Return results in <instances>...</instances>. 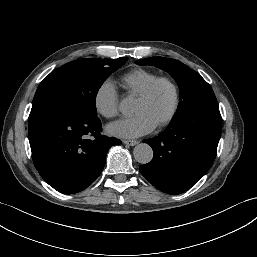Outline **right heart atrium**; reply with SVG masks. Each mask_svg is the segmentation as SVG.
Returning <instances> with one entry per match:
<instances>
[{
    "mask_svg": "<svg viewBox=\"0 0 257 257\" xmlns=\"http://www.w3.org/2000/svg\"><path fill=\"white\" fill-rule=\"evenodd\" d=\"M93 102L95 110L104 118H114L119 113V95L113 84L109 81H105L98 86Z\"/></svg>",
    "mask_w": 257,
    "mask_h": 257,
    "instance_id": "1",
    "label": "right heart atrium"
}]
</instances>
